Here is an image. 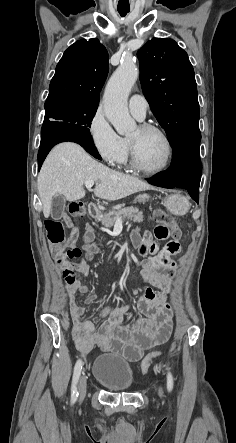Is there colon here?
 <instances>
[{"mask_svg": "<svg viewBox=\"0 0 236 443\" xmlns=\"http://www.w3.org/2000/svg\"><path fill=\"white\" fill-rule=\"evenodd\" d=\"M67 214L72 218L83 217L85 214L84 205L76 201L71 202L67 208ZM153 219L157 224L154 233L155 237L158 240H166L169 237H172L175 240L181 238V230L175 219L170 214L161 209H157L153 214ZM46 229L48 239L51 243L53 256L58 262H69L70 260L79 258L81 256L82 251L79 247H71L67 249L63 248V244L65 243L67 236L66 227L62 221L48 220L46 222ZM76 238L77 232L74 231L69 240L71 241V243H73ZM167 248L170 252H172L175 250L176 245L169 244L167 245ZM160 355V351H154L143 357L141 361L142 372L146 373L151 365L152 360ZM131 356L137 358V360L141 358L136 353H133Z\"/></svg>", "mask_w": 236, "mask_h": 443, "instance_id": "5ec220e1", "label": "colon"}]
</instances>
